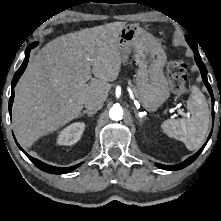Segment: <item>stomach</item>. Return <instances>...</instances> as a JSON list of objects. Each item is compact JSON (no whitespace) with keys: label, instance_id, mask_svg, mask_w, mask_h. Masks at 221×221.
Instances as JSON below:
<instances>
[{"label":"stomach","instance_id":"obj_1","mask_svg":"<svg viewBox=\"0 0 221 221\" xmlns=\"http://www.w3.org/2000/svg\"><path fill=\"white\" fill-rule=\"evenodd\" d=\"M122 62L131 52L138 65L135 94L147 111H155L169 97L170 89L163 73L167 56L159 42L138 25L124 26L119 34Z\"/></svg>","mask_w":221,"mask_h":221}]
</instances>
